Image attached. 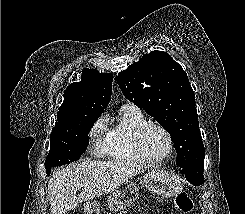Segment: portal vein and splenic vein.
Instances as JSON below:
<instances>
[{"label":"portal vein and splenic vein","mask_w":245,"mask_h":214,"mask_svg":"<svg viewBox=\"0 0 245 214\" xmlns=\"http://www.w3.org/2000/svg\"><path fill=\"white\" fill-rule=\"evenodd\" d=\"M81 186H86V184H81Z\"/></svg>","instance_id":"obj_1"}]
</instances>
